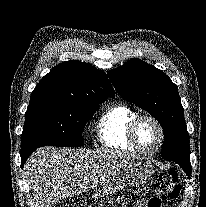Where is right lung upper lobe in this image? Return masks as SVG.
I'll list each match as a JSON object with an SVG mask.
<instances>
[{"label":"right lung upper lobe","instance_id":"right-lung-upper-lobe-1","mask_svg":"<svg viewBox=\"0 0 206 207\" xmlns=\"http://www.w3.org/2000/svg\"><path fill=\"white\" fill-rule=\"evenodd\" d=\"M114 90L102 70L71 60L55 66L38 83L30 102L58 100L79 104H100L114 97Z\"/></svg>","mask_w":206,"mask_h":207}]
</instances>
